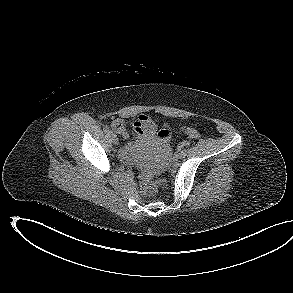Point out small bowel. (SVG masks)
Masks as SVG:
<instances>
[{
  "label": "small bowel",
  "mask_w": 293,
  "mask_h": 293,
  "mask_svg": "<svg viewBox=\"0 0 293 293\" xmlns=\"http://www.w3.org/2000/svg\"><path fill=\"white\" fill-rule=\"evenodd\" d=\"M112 127L116 130L117 133L121 134L123 137H127L129 134L128 123L123 119H115L112 122ZM132 128L134 133L139 139H147L152 137L156 130V123L146 115H140L137 119L132 122Z\"/></svg>",
  "instance_id": "c3829d8e"
}]
</instances>
